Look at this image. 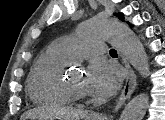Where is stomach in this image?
Here are the masks:
<instances>
[{"mask_svg":"<svg viewBox=\"0 0 165 120\" xmlns=\"http://www.w3.org/2000/svg\"><path fill=\"white\" fill-rule=\"evenodd\" d=\"M85 120H97L96 117H92V116H87L85 118Z\"/></svg>","mask_w":165,"mask_h":120,"instance_id":"stomach-1","label":"stomach"}]
</instances>
